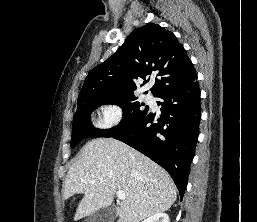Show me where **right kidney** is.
Segmentation results:
<instances>
[{
    "mask_svg": "<svg viewBox=\"0 0 257 222\" xmlns=\"http://www.w3.org/2000/svg\"><path fill=\"white\" fill-rule=\"evenodd\" d=\"M142 222H169V216L166 213H157Z\"/></svg>",
    "mask_w": 257,
    "mask_h": 222,
    "instance_id": "ca27d5eb",
    "label": "right kidney"
}]
</instances>
